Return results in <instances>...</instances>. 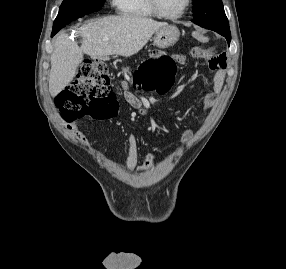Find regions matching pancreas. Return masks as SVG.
Returning a JSON list of instances; mask_svg holds the SVG:
<instances>
[{"label": "pancreas", "instance_id": "1", "mask_svg": "<svg viewBox=\"0 0 286 269\" xmlns=\"http://www.w3.org/2000/svg\"><path fill=\"white\" fill-rule=\"evenodd\" d=\"M123 72H124V73H129V68L123 69ZM122 84H123L124 86L126 85L125 82H122Z\"/></svg>", "mask_w": 286, "mask_h": 269}]
</instances>
